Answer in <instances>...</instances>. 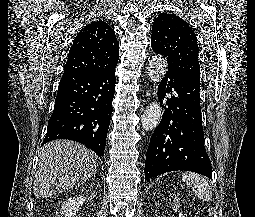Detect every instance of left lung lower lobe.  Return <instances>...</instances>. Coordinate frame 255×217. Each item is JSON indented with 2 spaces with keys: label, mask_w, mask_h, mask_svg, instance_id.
I'll return each mask as SVG.
<instances>
[{
  "label": "left lung lower lobe",
  "mask_w": 255,
  "mask_h": 217,
  "mask_svg": "<svg viewBox=\"0 0 255 217\" xmlns=\"http://www.w3.org/2000/svg\"><path fill=\"white\" fill-rule=\"evenodd\" d=\"M199 90V83L168 69L158 87L164 113L148 146L145 180L178 170L212 177L204 146Z\"/></svg>",
  "instance_id": "0a47b994"
}]
</instances>
